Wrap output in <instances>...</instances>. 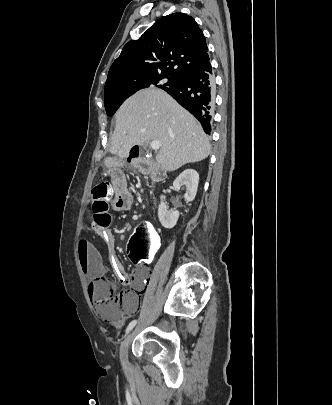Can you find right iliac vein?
<instances>
[{"mask_svg":"<svg viewBox=\"0 0 332 405\" xmlns=\"http://www.w3.org/2000/svg\"><path fill=\"white\" fill-rule=\"evenodd\" d=\"M134 331H132L126 338L125 340L122 342L121 347H120V359L123 363V365H125L127 363V356H128V348L130 345V342L134 336Z\"/></svg>","mask_w":332,"mask_h":405,"instance_id":"right-iliac-vein-1","label":"right iliac vein"}]
</instances>
